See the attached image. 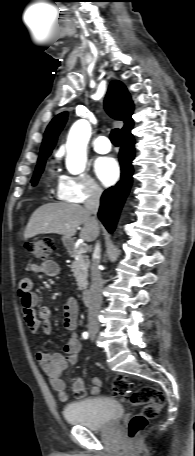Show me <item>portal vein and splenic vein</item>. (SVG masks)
Here are the masks:
<instances>
[{
	"label": "portal vein and splenic vein",
	"instance_id": "18ae733b",
	"mask_svg": "<svg viewBox=\"0 0 195 456\" xmlns=\"http://www.w3.org/2000/svg\"><path fill=\"white\" fill-rule=\"evenodd\" d=\"M88 250V246L86 244H82L79 248V251L82 253H86Z\"/></svg>",
	"mask_w": 195,
	"mask_h": 456
}]
</instances>
